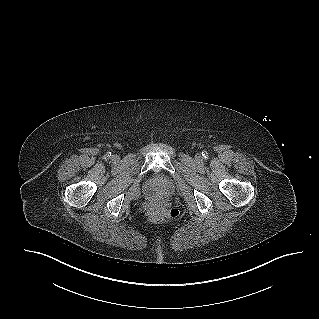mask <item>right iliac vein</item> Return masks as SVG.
Segmentation results:
<instances>
[{
    "instance_id": "1",
    "label": "right iliac vein",
    "mask_w": 319,
    "mask_h": 319,
    "mask_svg": "<svg viewBox=\"0 0 319 319\" xmlns=\"http://www.w3.org/2000/svg\"><path fill=\"white\" fill-rule=\"evenodd\" d=\"M111 160H112L113 162H117V161L119 160V158H118L117 155H112Z\"/></svg>"
}]
</instances>
